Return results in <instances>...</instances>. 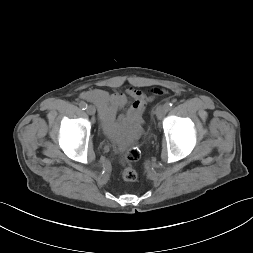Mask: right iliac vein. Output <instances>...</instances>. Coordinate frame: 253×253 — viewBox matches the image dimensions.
Returning <instances> with one entry per match:
<instances>
[{
  "mask_svg": "<svg viewBox=\"0 0 253 253\" xmlns=\"http://www.w3.org/2000/svg\"><path fill=\"white\" fill-rule=\"evenodd\" d=\"M86 111H87V113H88L89 115H94L95 112H96V109H95L94 106L89 105V106L86 108Z\"/></svg>",
  "mask_w": 253,
  "mask_h": 253,
  "instance_id": "right-iliac-vein-1",
  "label": "right iliac vein"
}]
</instances>
